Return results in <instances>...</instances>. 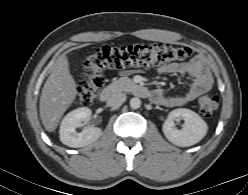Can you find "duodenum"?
Segmentation results:
<instances>
[{
	"mask_svg": "<svg viewBox=\"0 0 248 195\" xmlns=\"http://www.w3.org/2000/svg\"><path fill=\"white\" fill-rule=\"evenodd\" d=\"M131 90L134 95L138 97H148L150 96V90L139 83H133L131 85ZM116 95V88L114 86H107L103 88L100 92V100L104 103H109L113 100Z\"/></svg>",
	"mask_w": 248,
	"mask_h": 195,
	"instance_id": "obj_1",
	"label": "duodenum"
}]
</instances>
